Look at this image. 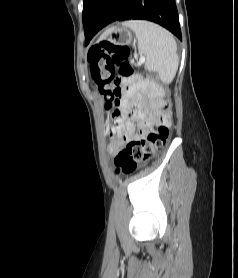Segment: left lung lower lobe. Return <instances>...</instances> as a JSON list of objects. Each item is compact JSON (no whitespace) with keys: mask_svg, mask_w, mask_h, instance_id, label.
Returning <instances> with one entry per match:
<instances>
[{"mask_svg":"<svg viewBox=\"0 0 238 278\" xmlns=\"http://www.w3.org/2000/svg\"><path fill=\"white\" fill-rule=\"evenodd\" d=\"M130 19L158 23L182 39L175 0H105L85 34V44L106 25Z\"/></svg>","mask_w":238,"mask_h":278,"instance_id":"0a47b994","label":"left lung lower lobe"}]
</instances>
